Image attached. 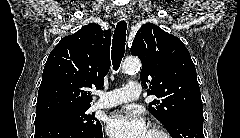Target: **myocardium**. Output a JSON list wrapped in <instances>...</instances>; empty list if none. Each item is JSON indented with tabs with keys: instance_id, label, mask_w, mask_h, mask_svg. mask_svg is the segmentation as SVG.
Returning a JSON list of instances; mask_svg holds the SVG:
<instances>
[{
	"instance_id": "myocardium-1",
	"label": "myocardium",
	"mask_w": 240,
	"mask_h": 138,
	"mask_svg": "<svg viewBox=\"0 0 240 138\" xmlns=\"http://www.w3.org/2000/svg\"><path fill=\"white\" fill-rule=\"evenodd\" d=\"M150 131L157 133L161 138H170L169 133L157 125L151 126Z\"/></svg>"
}]
</instances>
